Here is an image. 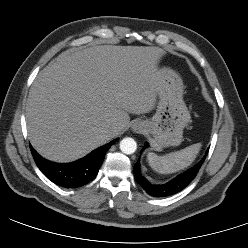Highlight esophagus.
Here are the masks:
<instances>
[{
	"label": "esophagus",
	"instance_id": "34e87169",
	"mask_svg": "<svg viewBox=\"0 0 248 248\" xmlns=\"http://www.w3.org/2000/svg\"><path fill=\"white\" fill-rule=\"evenodd\" d=\"M132 129L137 133H142L144 131V124L142 122H136L134 123Z\"/></svg>",
	"mask_w": 248,
	"mask_h": 248
}]
</instances>
